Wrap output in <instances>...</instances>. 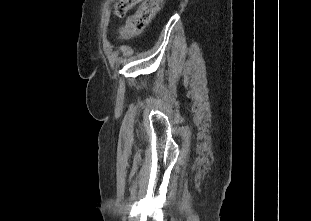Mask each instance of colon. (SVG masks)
<instances>
[{
	"instance_id": "colon-1",
	"label": "colon",
	"mask_w": 311,
	"mask_h": 221,
	"mask_svg": "<svg viewBox=\"0 0 311 221\" xmlns=\"http://www.w3.org/2000/svg\"><path fill=\"white\" fill-rule=\"evenodd\" d=\"M138 0H121L112 2L113 17H124L126 12L135 8ZM164 0H143L136 13L129 16L126 24L121 27L123 39L132 38L141 33L162 7Z\"/></svg>"
}]
</instances>
